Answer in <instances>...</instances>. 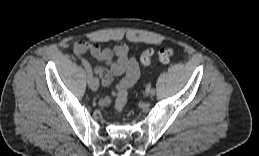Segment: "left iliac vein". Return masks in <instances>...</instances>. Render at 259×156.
<instances>
[{
    "instance_id": "obj_1",
    "label": "left iliac vein",
    "mask_w": 259,
    "mask_h": 156,
    "mask_svg": "<svg viewBox=\"0 0 259 156\" xmlns=\"http://www.w3.org/2000/svg\"><path fill=\"white\" fill-rule=\"evenodd\" d=\"M146 94H147V95H152V94H151V88H150V89H146Z\"/></svg>"
}]
</instances>
